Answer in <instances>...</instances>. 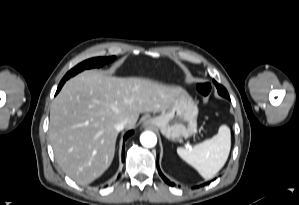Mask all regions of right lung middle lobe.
Masks as SVG:
<instances>
[{"instance_id":"dd1d6c3e","label":"right lung middle lobe","mask_w":299,"mask_h":205,"mask_svg":"<svg viewBox=\"0 0 299 205\" xmlns=\"http://www.w3.org/2000/svg\"><path fill=\"white\" fill-rule=\"evenodd\" d=\"M115 60V56L112 57H97L92 58L89 60H86L80 64H78L76 67L72 68L62 79L63 82H65L70 77H73L77 73L83 71L84 69L94 68V67H101L107 63L112 62Z\"/></svg>"}]
</instances>
